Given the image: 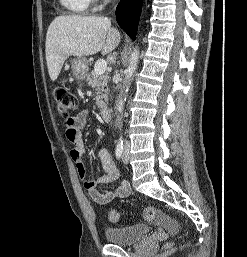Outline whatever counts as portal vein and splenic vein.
<instances>
[{
    "label": "portal vein and splenic vein",
    "mask_w": 247,
    "mask_h": 257,
    "mask_svg": "<svg viewBox=\"0 0 247 257\" xmlns=\"http://www.w3.org/2000/svg\"><path fill=\"white\" fill-rule=\"evenodd\" d=\"M106 68H107L106 61L105 60H98L95 63L94 72L97 75H102L106 71Z\"/></svg>",
    "instance_id": "obj_1"
}]
</instances>
